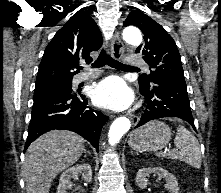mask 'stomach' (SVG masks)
Returning a JSON list of instances; mask_svg holds the SVG:
<instances>
[{"label": "stomach", "instance_id": "0dacf381", "mask_svg": "<svg viewBox=\"0 0 221 193\" xmlns=\"http://www.w3.org/2000/svg\"><path fill=\"white\" fill-rule=\"evenodd\" d=\"M171 135L167 124L154 120L131 132L128 144L137 152L157 151L166 146Z\"/></svg>", "mask_w": 221, "mask_h": 193}]
</instances>
